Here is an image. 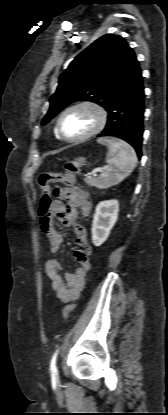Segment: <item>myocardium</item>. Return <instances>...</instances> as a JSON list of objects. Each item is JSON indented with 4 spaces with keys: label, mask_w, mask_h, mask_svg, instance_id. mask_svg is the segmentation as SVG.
<instances>
[{
    "label": "myocardium",
    "mask_w": 168,
    "mask_h": 415,
    "mask_svg": "<svg viewBox=\"0 0 168 415\" xmlns=\"http://www.w3.org/2000/svg\"><path fill=\"white\" fill-rule=\"evenodd\" d=\"M78 108H89V109H91L96 114V117H97L96 124L89 132H87L86 134H84L82 136L75 137V138L66 137L64 135L63 131H62V126H61L62 119L69 111L74 110V109H78ZM106 122H107V111L105 110V108L101 104H99L95 101H92V100H83V101H79V102H76V103L68 106L67 108H65L61 112V114L59 115V117L57 119V122H56V131H57L59 137L62 140L66 141V142H71V143L81 142V141L87 140V139L97 135L98 133H100L103 130V128L105 127Z\"/></svg>",
    "instance_id": "obj_1"
}]
</instances>
